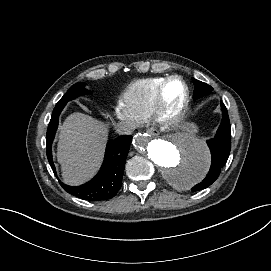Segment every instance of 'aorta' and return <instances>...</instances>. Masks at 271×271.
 <instances>
[{
	"mask_svg": "<svg viewBox=\"0 0 271 271\" xmlns=\"http://www.w3.org/2000/svg\"><path fill=\"white\" fill-rule=\"evenodd\" d=\"M133 144L176 189H190L204 177L209 167L208 146L193 134L177 132L165 138H151L147 133H138Z\"/></svg>",
	"mask_w": 271,
	"mask_h": 271,
	"instance_id": "1",
	"label": "aorta"
}]
</instances>
